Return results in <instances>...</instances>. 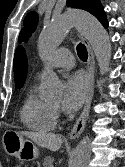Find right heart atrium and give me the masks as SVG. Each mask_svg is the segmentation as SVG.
Segmentation results:
<instances>
[{
	"mask_svg": "<svg viewBox=\"0 0 125 167\" xmlns=\"http://www.w3.org/2000/svg\"><path fill=\"white\" fill-rule=\"evenodd\" d=\"M55 115H56V117L58 116V113L55 111Z\"/></svg>",
	"mask_w": 125,
	"mask_h": 167,
	"instance_id": "obj_1",
	"label": "right heart atrium"
}]
</instances>
